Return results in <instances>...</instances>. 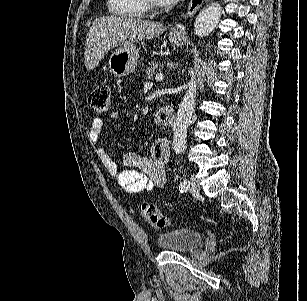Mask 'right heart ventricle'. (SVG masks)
Listing matches in <instances>:
<instances>
[{
    "label": "right heart ventricle",
    "mask_w": 307,
    "mask_h": 301,
    "mask_svg": "<svg viewBox=\"0 0 307 301\" xmlns=\"http://www.w3.org/2000/svg\"><path fill=\"white\" fill-rule=\"evenodd\" d=\"M145 0H109L107 12L111 13V17H141Z\"/></svg>",
    "instance_id": "1"
}]
</instances>
